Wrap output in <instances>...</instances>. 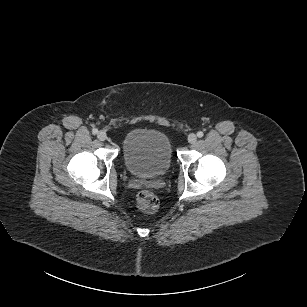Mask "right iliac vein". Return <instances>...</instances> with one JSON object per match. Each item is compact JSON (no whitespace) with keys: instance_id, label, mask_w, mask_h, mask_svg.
Returning <instances> with one entry per match:
<instances>
[{"instance_id":"1","label":"right iliac vein","mask_w":307,"mask_h":307,"mask_svg":"<svg viewBox=\"0 0 307 307\" xmlns=\"http://www.w3.org/2000/svg\"><path fill=\"white\" fill-rule=\"evenodd\" d=\"M97 138L100 140V141H105L107 139V135L104 131H100L98 134H97Z\"/></svg>"}]
</instances>
